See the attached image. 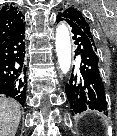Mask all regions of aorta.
<instances>
[{"instance_id": "obj_1", "label": "aorta", "mask_w": 117, "mask_h": 136, "mask_svg": "<svg viewBox=\"0 0 117 136\" xmlns=\"http://www.w3.org/2000/svg\"><path fill=\"white\" fill-rule=\"evenodd\" d=\"M55 46L59 68L66 74L71 66V40L68 26L63 22L56 28Z\"/></svg>"}]
</instances>
